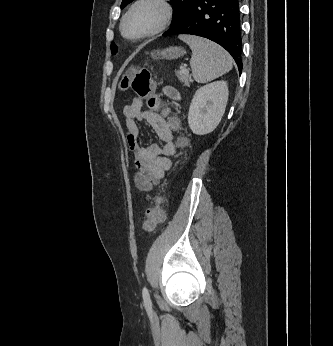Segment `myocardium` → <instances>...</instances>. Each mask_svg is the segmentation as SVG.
Masks as SVG:
<instances>
[{"label": "myocardium", "instance_id": "myocardium-1", "mask_svg": "<svg viewBox=\"0 0 333 346\" xmlns=\"http://www.w3.org/2000/svg\"><path fill=\"white\" fill-rule=\"evenodd\" d=\"M143 3H155L158 6H160L163 12L162 19L159 22V24L155 28L151 29L150 31H147L145 33H142L136 36H128L124 30L125 22L127 18L129 17V15L134 11V9ZM173 16H174V9L170 0H136L131 4V6L128 8V10L125 12V14L123 15L121 19L120 33L122 34L123 37L127 39H132V40L152 37L154 35L159 34L163 30H165L172 22Z\"/></svg>", "mask_w": 333, "mask_h": 346}]
</instances>
